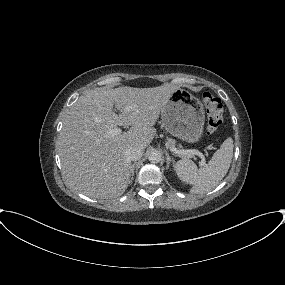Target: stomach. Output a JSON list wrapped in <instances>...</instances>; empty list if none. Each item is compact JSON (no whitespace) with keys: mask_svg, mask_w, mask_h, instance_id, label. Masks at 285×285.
<instances>
[{"mask_svg":"<svg viewBox=\"0 0 285 285\" xmlns=\"http://www.w3.org/2000/svg\"><path fill=\"white\" fill-rule=\"evenodd\" d=\"M164 128L183 141L195 143L201 139L205 112L198 98L178 88L161 112Z\"/></svg>","mask_w":285,"mask_h":285,"instance_id":"1","label":"stomach"}]
</instances>
